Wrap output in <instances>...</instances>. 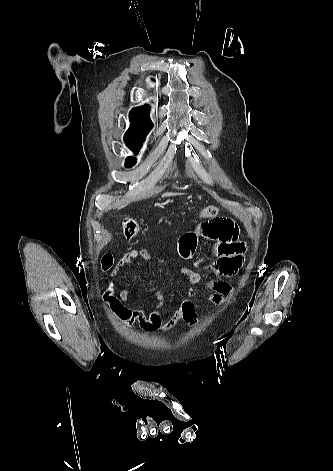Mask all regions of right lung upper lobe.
<instances>
[{
    "label": "right lung upper lobe",
    "instance_id": "obj_1",
    "mask_svg": "<svg viewBox=\"0 0 333 471\" xmlns=\"http://www.w3.org/2000/svg\"><path fill=\"white\" fill-rule=\"evenodd\" d=\"M148 111V106L133 108L129 115L132 125L131 129L128 131L148 132L149 129L153 126L152 122L150 121Z\"/></svg>",
    "mask_w": 333,
    "mask_h": 471
}]
</instances>
